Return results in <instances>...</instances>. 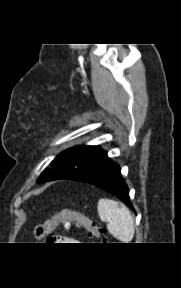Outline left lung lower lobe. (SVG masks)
Here are the masks:
<instances>
[{"instance_id": "left-lung-lower-lobe-1", "label": "left lung lower lobe", "mask_w": 181, "mask_h": 288, "mask_svg": "<svg viewBox=\"0 0 181 288\" xmlns=\"http://www.w3.org/2000/svg\"><path fill=\"white\" fill-rule=\"evenodd\" d=\"M79 181L93 184L115 195L135 212L129 198L128 186L123 180L119 165L116 162L109 159L94 172Z\"/></svg>"}]
</instances>
